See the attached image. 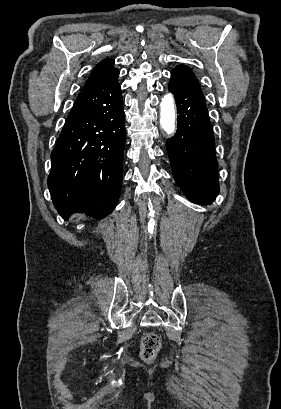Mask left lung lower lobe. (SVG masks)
I'll list each match as a JSON object with an SVG mask.
<instances>
[{"mask_svg":"<svg viewBox=\"0 0 281 409\" xmlns=\"http://www.w3.org/2000/svg\"><path fill=\"white\" fill-rule=\"evenodd\" d=\"M168 89L177 105V131L167 140L172 172L187 198L210 204L219 192L213 128L199 83L173 69Z\"/></svg>","mask_w":281,"mask_h":409,"instance_id":"obj_1","label":"left lung lower lobe"}]
</instances>
